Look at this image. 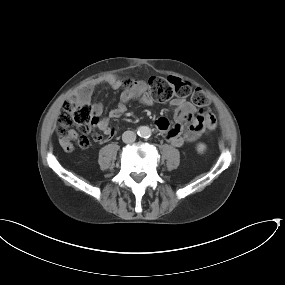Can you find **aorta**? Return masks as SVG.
Listing matches in <instances>:
<instances>
[{
    "mask_svg": "<svg viewBox=\"0 0 285 285\" xmlns=\"http://www.w3.org/2000/svg\"><path fill=\"white\" fill-rule=\"evenodd\" d=\"M138 135L142 138H149L151 136V129L148 126H141L138 129Z\"/></svg>",
    "mask_w": 285,
    "mask_h": 285,
    "instance_id": "762f6f07",
    "label": "aorta"
}]
</instances>
